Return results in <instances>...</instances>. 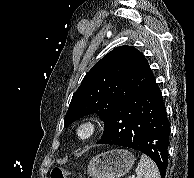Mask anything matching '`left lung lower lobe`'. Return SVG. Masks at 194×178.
Masks as SVG:
<instances>
[{"instance_id": "obj_1", "label": "left lung lower lobe", "mask_w": 194, "mask_h": 178, "mask_svg": "<svg viewBox=\"0 0 194 178\" xmlns=\"http://www.w3.org/2000/svg\"><path fill=\"white\" fill-rule=\"evenodd\" d=\"M97 144L120 145L148 155L165 178L170 122L160 88L154 82L120 103L104 121Z\"/></svg>"}]
</instances>
